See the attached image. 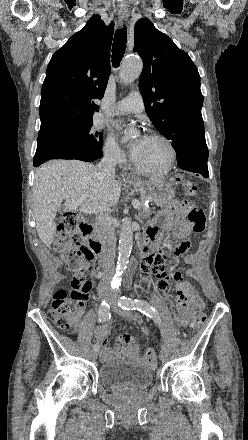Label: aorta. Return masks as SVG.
Listing matches in <instances>:
<instances>
[{
	"instance_id": "aorta-1",
	"label": "aorta",
	"mask_w": 248,
	"mask_h": 440,
	"mask_svg": "<svg viewBox=\"0 0 248 440\" xmlns=\"http://www.w3.org/2000/svg\"><path fill=\"white\" fill-rule=\"evenodd\" d=\"M143 69V63L139 58L129 57L124 59L120 68V78L124 84H129L136 80ZM132 130L125 131L122 141L133 138ZM119 237V252L117 259L116 273L113 279V285L118 286L123 272L127 268L128 259L132 251L133 246V230L131 226V220L124 218Z\"/></svg>"
}]
</instances>
